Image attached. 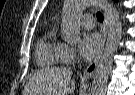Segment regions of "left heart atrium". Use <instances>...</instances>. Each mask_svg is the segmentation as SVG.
Wrapping results in <instances>:
<instances>
[{
	"instance_id": "39dd6f15",
	"label": "left heart atrium",
	"mask_w": 135,
	"mask_h": 95,
	"mask_svg": "<svg viewBox=\"0 0 135 95\" xmlns=\"http://www.w3.org/2000/svg\"><path fill=\"white\" fill-rule=\"evenodd\" d=\"M102 40L97 33H85L79 42V51L84 59H92L101 50Z\"/></svg>"
}]
</instances>
